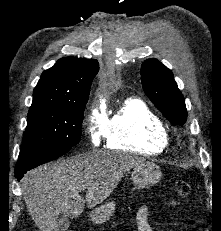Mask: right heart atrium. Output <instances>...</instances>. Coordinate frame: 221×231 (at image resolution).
Masks as SVG:
<instances>
[{"label":"right heart atrium","instance_id":"right-heart-atrium-1","mask_svg":"<svg viewBox=\"0 0 221 231\" xmlns=\"http://www.w3.org/2000/svg\"><path fill=\"white\" fill-rule=\"evenodd\" d=\"M107 117L105 109L93 107L88 118V133L94 145H98L106 134Z\"/></svg>","mask_w":221,"mask_h":231}]
</instances>
